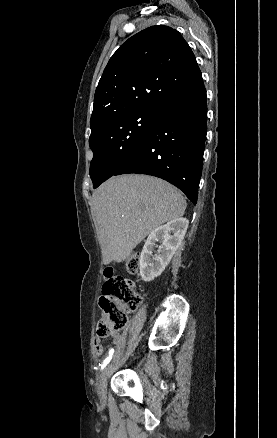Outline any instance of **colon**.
<instances>
[{
    "mask_svg": "<svg viewBox=\"0 0 277 438\" xmlns=\"http://www.w3.org/2000/svg\"><path fill=\"white\" fill-rule=\"evenodd\" d=\"M137 255V250H132ZM129 273H137L140 263L137 258H131L126 263ZM106 283L99 284V304L104 313L103 320L97 330V337H106L111 332L123 329L128 321V313L135 311L140 303V297L133 288V282L124 276H115L112 267L103 271Z\"/></svg>",
    "mask_w": 277,
    "mask_h": 438,
    "instance_id": "colon-1",
    "label": "colon"
}]
</instances>
